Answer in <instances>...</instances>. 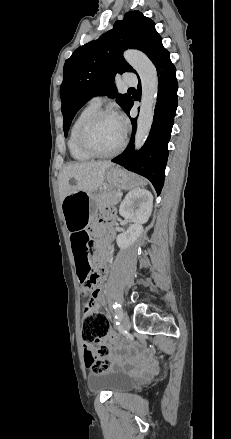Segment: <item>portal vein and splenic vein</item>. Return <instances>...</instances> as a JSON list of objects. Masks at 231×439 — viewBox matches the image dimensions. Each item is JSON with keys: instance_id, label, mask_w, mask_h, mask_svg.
Here are the masks:
<instances>
[{"instance_id": "obj_1", "label": "portal vein and splenic vein", "mask_w": 231, "mask_h": 439, "mask_svg": "<svg viewBox=\"0 0 231 439\" xmlns=\"http://www.w3.org/2000/svg\"><path fill=\"white\" fill-rule=\"evenodd\" d=\"M117 195L121 198V196H122V193H120V192H118L117 193Z\"/></svg>"}]
</instances>
